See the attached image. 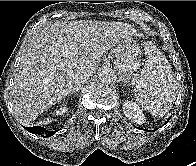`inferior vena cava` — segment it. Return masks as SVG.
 I'll use <instances>...</instances> for the list:
<instances>
[{
    "label": "inferior vena cava",
    "instance_id": "602c4592",
    "mask_svg": "<svg viewBox=\"0 0 196 166\" xmlns=\"http://www.w3.org/2000/svg\"><path fill=\"white\" fill-rule=\"evenodd\" d=\"M91 73L89 72H76L73 76L74 83L81 85L85 83L90 78Z\"/></svg>",
    "mask_w": 196,
    "mask_h": 166
}]
</instances>
